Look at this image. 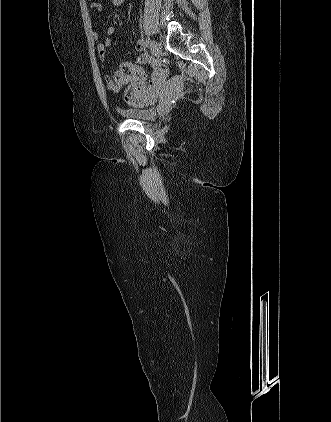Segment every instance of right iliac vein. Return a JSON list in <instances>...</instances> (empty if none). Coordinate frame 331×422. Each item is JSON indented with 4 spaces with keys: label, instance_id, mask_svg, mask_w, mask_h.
I'll return each instance as SVG.
<instances>
[{
    "label": "right iliac vein",
    "instance_id": "obj_1",
    "mask_svg": "<svg viewBox=\"0 0 331 422\" xmlns=\"http://www.w3.org/2000/svg\"><path fill=\"white\" fill-rule=\"evenodd\" d=\"M150 44L152 45V54L156 59H159L161 55V49L157 41L151 40Z\"/></svg>",
    "mask_w": 331,
    "mask_h": 422
}]
</instances>
